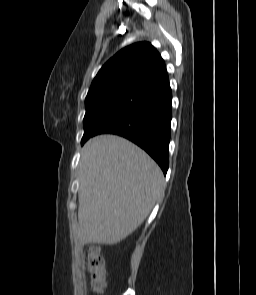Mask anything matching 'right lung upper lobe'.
Returning <instances> with one entry per match:
<instances>
[{
  "label": "right lung upper lobe",
  "mask_w": 256,
  "mask_h": 295,
  "mask_svg": "<svg viewBox=\"0 0 256 295\" xmlns=\"http://www.w3.org/2000/svg\"><path fill=\"white\" fill-rule=\"evenodd\" d=\"M166 73L163 59L150 43L132 44L115 54L99 70L85 105L118 96L138 95Z\"/></svg>",
  "instance_id": "obj_1"
}]
</instances>
